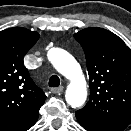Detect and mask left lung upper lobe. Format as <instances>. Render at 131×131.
<instances>
[{"instance_id":"left-lung-upper-lobe-1","label":"left lung upper lobe","mask_w":131,"mask_h":131,"mask_svg":"<svg viewBox=\"0 0 131 131\" xmlns=\"http://www.w3.org/2000/svg\"><path fill=\"white\" fill-rule=\"evenodd\" d=\"M74 38L85 52L90 86L78 122L87 131H123L131 123V49L103 28L83 29Z\"/></svg>"}]
</instances>
